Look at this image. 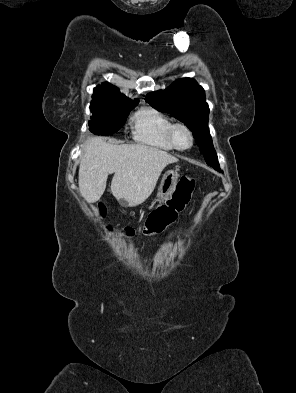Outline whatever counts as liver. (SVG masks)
I'll list each match as a JSON object with an SVG mask.
<instances>
[{"mask_svg": "<svg viewBox=\"0 0 296 393\" xmlns=\"http://www.w3.org/2000/svg\"><path fill=\"white\" fill-rule=\"evenodd\" d=\"M178 159L142 144L114 145L101 137L89 138L79 167V190L89 203L103 195L107 177L114 173L111 192L128 206L142 204L153 192L163 169Z\"/></svg>", "mask_w": 296, "mask_h": 393, "instance_id": "1", "label": "liver"}]
</instances>
